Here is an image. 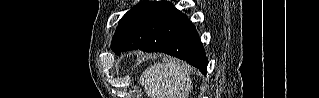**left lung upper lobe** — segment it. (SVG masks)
Instances as JSON below:
<instances>
[{"label": "left lung upper lobe", "mask_w": 319, "mask_h": 98, "mask_svg": "<svg viewBox=\"0 0 319 98\" xmlns=\"http://www.w3.org/2000/svg\"><path fill=\"white\" fill-rule=\"evenodd\" d=\"M156 1H143L129 10L119 21L117 31L112 39V50L116 52L124 46L136 32L144 17Z\"/></svg>", "instance_id": "left-lung-upper-lobe-1"}]
</instances>
